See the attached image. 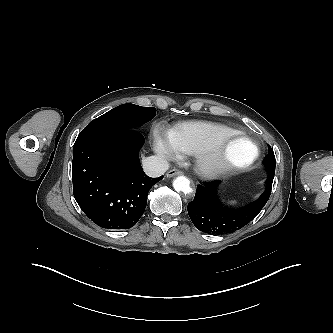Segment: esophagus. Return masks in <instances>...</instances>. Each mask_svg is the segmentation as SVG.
Listing matches in <instances>:
<instances>
[{
  "instance_id": "1",
  "label": "esophagus",
  "mask_w": 333,
  "mask_h": 333,
  "mask_svg": "<svg viewBox=\"0 0 333 333\" xmlns=\"http://www.w3.org/2000/svg\"><path fill=\"white\" fill-rule=\"evenodd\" d=\"M183 172L177 168H173V169H170L167 173H166V176L167 177H174V176H178V175H181Z\"/></svg>"
}]
</instances>
